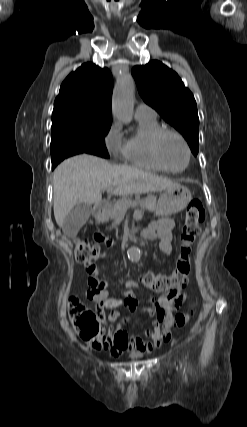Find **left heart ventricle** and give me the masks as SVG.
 Instances as JSON below:
<instances>
[{"mask_svg":"<svg viewBox=\"0 0 247 427\" xmlns=\"http://www.w3.org/2000/svg\"><path fill=\"white\" fill-rule=\"evenodd\" d=\"M160 151L167 166L174 170L183 168L187 161L186 150L174 135H166L161 141Z\"/></svg>","mask_w":247,"mask_h":427,"instance_id":"b2bd125f","label":"left heart ventricle"}]
</instances>
